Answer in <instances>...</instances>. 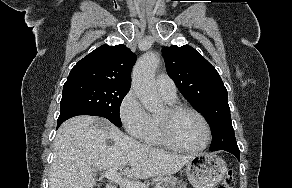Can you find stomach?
Instances as JSON below:
<instances>
[{
  "label": "stomach",
  "mask_w": 292,
  "mask_h": 188,
  "mask_svg": "<svg viewBox=\"0 0 292 188\" xmlns=\"http://www.w3.org/2000/svg\"><path fill=\"white\" fill-rule=\"evenodd\" d=\"M185 171L195 188H214L224 178L227 164L214 154L200 153L185 164Z\"/></svg>",
  "instance_id": "obj_1"
}]
</instances>
